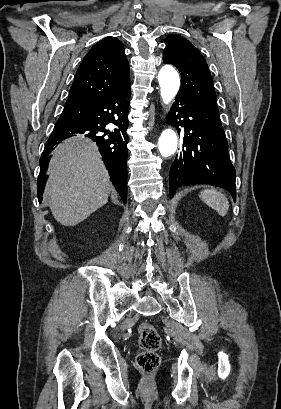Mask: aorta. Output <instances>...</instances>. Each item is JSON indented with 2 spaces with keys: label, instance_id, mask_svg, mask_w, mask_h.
Wrapping results in <instances>:
<instances>
[{
  "label": "aorta",
  "instance_id": "obj_1",
  "mask_svg": "<svg viewBox=\"0 0 281 409\" xmlns=\"http://www.w3.org/2000/svg\"><path fill=\"white\" fill-rule=\"evenodd\" d=\"M158 82L160 85V94L163 102L169 104L176 96L180 78L177 71L169 65L163 66L158 74ZM176 133L168 128L165 129L159 137L158 148L163 157H169L176 152L177 149Z\"/></svg>",
  "mask_w": 281,
  "mask_h": 409
}]
</instances>
